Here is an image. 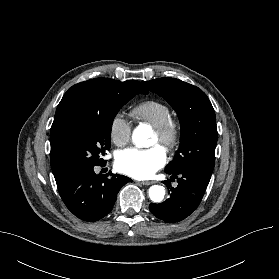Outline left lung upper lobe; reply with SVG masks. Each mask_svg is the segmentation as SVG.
<instances>
[{
  "label": "left lung upper lobe",
  "instance_id": "left-lung-upper-lobe-1",
  "mask_svg": "<svg viewBox=\"0 0 279 279\" xmlns=\"http://www.w3.org/2000/svg\"><path fill=\"white\" fill-rule=\"evenodd\" d=\"M143 84L163 97L180 121V148L165 172L190 171L210 180L218 133L214 109L207 95L198 87L175 78H159L143 81Z\"/></svg>",
  "mask_w": 279,
  "mask_h": 279
}]
</instances>
